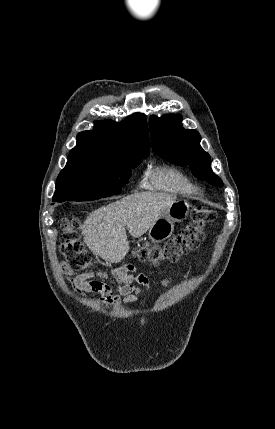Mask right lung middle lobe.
Instances as JSON below:
<instances>
[{"mask_svg": "<svg viewBox=\"0 0 275 429\" xmlns=\"http://www.w3.org/2000/svg\"><path fill=\"white\" fill-rule=\"evenodd\" d=\"M148 154H126L112 159L68 161L57 178L53 200L90 201L119 194Z\"/></svg>", "mask_w": 275, "mask_h": 429, "instance_id": "1", "label": "right lung middle lobe"}]
</instances>
